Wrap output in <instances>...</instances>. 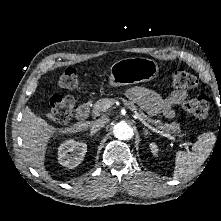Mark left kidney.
Instances as JSON below:
<instances>
[{
    "mask_svg": "<svg viewBox=\"0 0 221 221\" xmlns=\"http://www.w3.org/2000/svg\"><path fill=\"white\" fill-rule=\"evenodd\" d=\"M149 147L153 155L157 156V153L159 151L157 145L155 143H150Z\"/></svg>",
    "mask_w": 221,
    "mask_h": 221,
    "instance_id": "1",
    "label": "left kidney"
}]
</instances>
